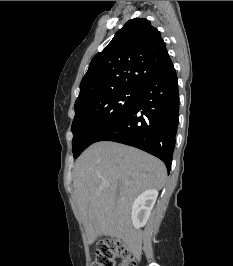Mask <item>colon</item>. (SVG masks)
Wrapping results in <instances>:
<instances>
[{"label":"colon","instance_id":"5ec220e1","mask_svg":"<svg viewBox=\"0 0 233 266\" xmlns=\"http://www.w3.org/2000/svg\"><path fill=\"white\" fill-rule=\"evenodd\" d=\"M117 258L122 259L119 266H138V255L119 239L100 241L97 244L96 259L92 266H115Z\"/></svg>","mask_w":233,"mask_h":266}]
</instances>
